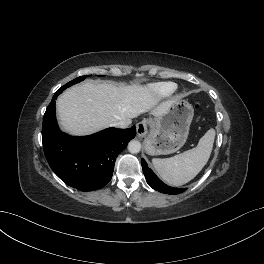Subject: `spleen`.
Instances as JSON below:
<instances>
[{"instance_id":"spleen-1","label":"spleen","mask_w":264,"mask_h":264,"mask_svg":"<svg viewBox=\"0 0 264 264\" xmlns=\"http://www.w3.org/2000/svg\"><path fill=\"white\" fill-rule=\"evenodd\" d=\"M215 139V130L209 129L197 147L170 158L152 160L160 177L168 184L180 186L191 181L209 160Z\"/></svg>"}]
</instances>
